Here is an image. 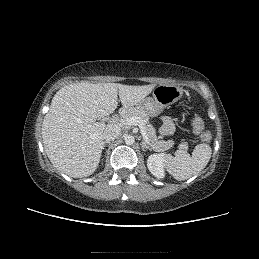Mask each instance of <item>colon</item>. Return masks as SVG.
I'll use <instances>...</instances> for the list:
<instances>
[{"instance_id":"5ec220e1","label":"colon","mask_w":259,"mask_h":259,"mask_svg":"<svg viewBox=\"0 0 259 259\" xmlns=\"http://www.w3.org/2000/svg\"><path fill=\"white\" fill-rule=\"evenodd\" d=\"M192 125L194 132L200 136L203 142L209 143L211 141V135L209 131L205 128L204 122L200 117L195 116L193 118Z\"/></svg>"}]
</instances>
